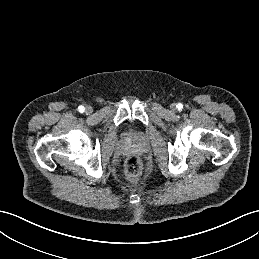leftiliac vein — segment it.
Listing matches in <instances>:
<instances>
[{"label": "left iliac vein", "instance_id": "left-iliac-vein-1", "mask_svg": "<svg viewBox=\"0 0 259 259\" xmlns=\"http://www.w3.org/2000/svg\"><path fill=\"white\" fill-rule=\"evenodd\" d=\"M172 109L175 110L176 109V106L175 104L172 105Z\"/></svg>", "mask_w": 259, "mask_h": 259}]
</instances>
